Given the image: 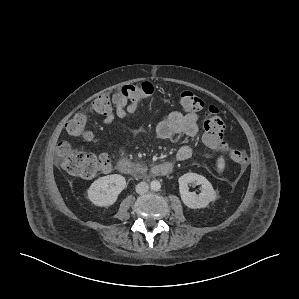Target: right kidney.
<instances>
[{
    "label": "right kidney",
    "instance_id": "ca27d5eb",
    "mask_svg": "<svg viewBox=\"0 0 299 299\" xmlns=\"http://www.w3.org/2000/svg\"><path fill=\"white\" fill-rule=\"evenodd\" d=\"M126 180L119 174L103 176L92 183L88 189V198L96 206L113 205L118 195L125 189Z\"/></svg>",
    "mask_w": 299,
    "mask_h": 299
}]
</instances>
